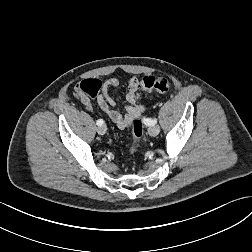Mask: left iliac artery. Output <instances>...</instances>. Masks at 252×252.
Returning <instances> with one entry per match:
<instances>
[{"label":"left iliac artery","mask_w":252,"mask_h":252,"mask_svg":"<svg viewBox=\"0 0 252 252\" xmlns=\"http://www.w3.org/2000/svg\"><path fill=\"white\" fill-rule=\"evenodd\" d=\"M140 118H141V122L143 124H146L147 126H152V125H155L157 123V119L156 118H154V119L147 118V115L145 113H142L140 115Z\"/></svg>","instance_id":"44dca946"}]
</instances>
